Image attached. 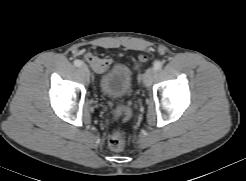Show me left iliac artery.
<instances>
[{
	"label": "left iliac artery",
	"instance_id": "obj_1",
	"mask_svg": "<svg viewBox=\"0 0 246 181\" xmlns=\"http://www.w3.org/2000/svg\"><path fill=\"white\" fill-rule=\"evenodd\" d=\"M162 68V62L160 61H155L154 62V69L155 70H160Z\"/></svg>",
	"mask_w": 246,
	"mask_h": 181
}]
</instances>
